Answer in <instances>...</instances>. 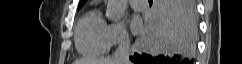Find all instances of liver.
Listing matches in <instances>:
<instances>
[{
	"label": "liver",
	"mask_w": 242,
	"mask_h": 64,
	"mask_svg": "<svg viewBox=\"0 0 242 64\" xmlns=\"http://www.w3.org/2000/svg\"><path fill=\"white\" fill-rule=\"evenodd\" d=\"M181 30H187L188 28L182 25ZM196 28L192 30L193 34L195 35ZM73 64H115V61L112 58H98V59H79L76 60Z\"/></svg>",
	"instance_id": "6515ba94"
}]
</instances>
